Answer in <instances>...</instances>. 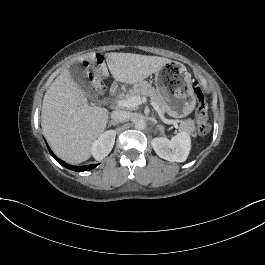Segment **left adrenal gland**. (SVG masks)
Returning a JSON list of instances; mask_svg holds the SVG:
<instances>
[{
	"label": "left adrenal gland",
	"instance_id": "1",
	"mask_svg": "<svg viewBox=\"0 0 265 265\" xmlns=\"http://www.w3.org/2000/svg\"><path fill=\"white\" fill-rule=\"evenodd\" d=\"M158 131H159L160 133H162V132H163V129H162L160 126H158Z\"/></svg>",
	"mask_w": 265,
	"mask_h": 265
}]
</instances>
